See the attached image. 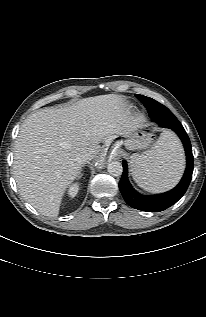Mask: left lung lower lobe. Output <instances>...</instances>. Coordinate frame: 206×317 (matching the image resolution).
Returning a JSON list of instances; mask_svg holds the SVG:
<instances>
[{
  "instance_id": "1",
  "label": "left lung lower lobe",
  "mask_w": 206,
  "mask_h": 317,
  "mask_svg": "<svg viewBox=\"0 0 206 317\" xmlns=\"http://www.w3.org/2000/svg\"><path fill=\"white\" fill-rule=\"evenodd\" d=\"M146 104L150 118L155 119L161 127L172 129L180 138L186 153V170L180 183L172 190L158 195L144 196L131 186L127 173V163L123 160V174L119 182L120 192L126 203L132 208L146 212H160L175 204L186 192L194 168L193 154L188 135L171 111L160 103Z\"/></svg>"
}]
</instances>
